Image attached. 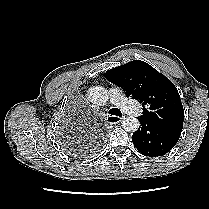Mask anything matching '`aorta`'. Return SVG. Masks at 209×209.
<instances>
[{
  "label": "aorta",
  "instance_id": "1",
  "mask_svg": "<svg viewBox=\"0 0 209 209\" xmlns=\"http://www.w3.org/2000/svg\"><path fill=\"white\" fill-rule=\"evenodd\" d=\"M88 100L94 105H103L108 100V91L102 86H92L87 91ZM122 127L127 132H135L139 128L137 118L129 116L123 118Z\"/></svg>",
  "mask_w": 209,
  "mask_h": 209
}]
</instances>
